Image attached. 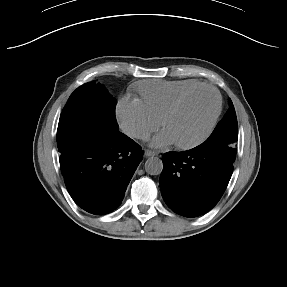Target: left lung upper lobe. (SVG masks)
Wrapping results in <instances>:
<instances>
[{"label": "left lung upper lobe", "mask_w": 287, "mask_h": 287, "mask_svg": "<svg viewBox=\"0 0 287 287\" xmlns=\"http://www.w3.org/2000/svg\"><path fill=\"white\" fill-rule=\"evenodd\" d=\"M238 124L235 109L229 99V109L210 137L203 143L222 153L232 164L236 156Z\"/></svg>", "instance_id": "left-lung-upper-lobe-1"}]
</instances>
